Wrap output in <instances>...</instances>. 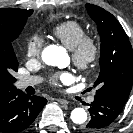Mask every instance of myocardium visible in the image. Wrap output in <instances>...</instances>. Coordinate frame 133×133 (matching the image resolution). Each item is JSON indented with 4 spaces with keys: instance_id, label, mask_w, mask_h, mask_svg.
Wrapping results in <instances>:
<instances>
[{
    "instance_id": "obj_1",
    "label": "myocardium",
    "mask_w": 133,
    "mask_h": 133,
    "mask_svg": "<svg viewBox=\"0 0 133 133\" xmlns=\"http://www.w3.org/2000/svg\"><path fill=\"white\" fill-rule=\"evenodd\" d=\"M70 50L74 65L81 71H91L99 62L100 46L94 36H84L79 43Z\"/></svg>"
}]
</instances>
